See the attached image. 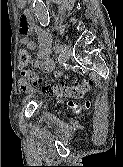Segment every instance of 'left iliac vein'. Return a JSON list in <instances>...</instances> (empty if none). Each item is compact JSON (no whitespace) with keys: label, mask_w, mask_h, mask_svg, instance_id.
Masks as SVG:
<instances>
[{"label":"left iliac vein","mask_w":123,"mask_h":167,"mask_svg":"<svg viewBox=\"0 0 123 167\" xmlns=\"http://www.w3.org/2000/svg\"><path fill=\"white\" fill-rule=\"evenodd\" d=\"M62 50H61V56H60V64L65 63L70 55L69 47L64 43L61 45Z\"/></svg>","instance_id":"left-iliac-vein-1"}]
</instances>
